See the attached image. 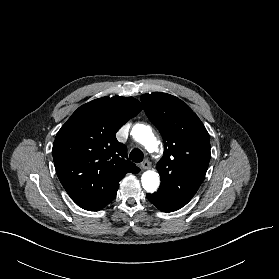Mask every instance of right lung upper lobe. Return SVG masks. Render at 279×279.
Here are the masks:
<instances>
[{
	"instance_id": "cb5924a9",
	"label": "right lung upper lobe",
	"mask_w": 279,
	"mask_h": 279,
	"mask_svg": "<svg viewBox=\"0 0 279 279\" xmlns=\"http://www.w3.org/2000/svg\"><path fill=\"white\" fill-rule=\"evenodd\" d=\"M141 110L133 97H102L79 107L57 133L52 149L57 175L79 207L103 209L125 174L139 172L115 133Z\"/></svg>"
}]
</instances>
